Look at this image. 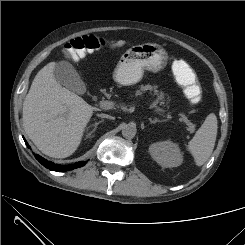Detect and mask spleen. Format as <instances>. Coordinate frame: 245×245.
I'll use <instances>...</instances> for the list:
<instances>
[{"mask_svg":"<svg viewBox=\"0 0 245 245\" xmlns=\"http://www.w3.org/2000/svg\"><path fill=\"white\" fill-rule=\"evenodd\" d=\"M217 129V117L211 113L206 117L193 139L189 141L187 149L194 157L197 166H202L211 156L215 146Z\"/></svg>","mask_w":245,"mask_h":245,"instance_id":"spleen-1","label":"spleen"}]
</instances>
